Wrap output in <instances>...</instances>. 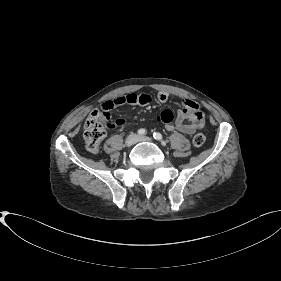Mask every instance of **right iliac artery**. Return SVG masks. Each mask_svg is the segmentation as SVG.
Listing matches in <instances>:
<instances>
[{
    "instance_id": "82829eb1",
    "label": "right iliac artery",
    "mask_w": 281,
    "mask_h": 281,
    "mask_svg": "<svg viewBox=\"0 0 281 281\" xmlns=\"http://www.w3.org/2000/svg\"><path fill=\"white\" fill-rule=\"evenodd\" d=\"M145 134H146V130L145 129L138 130V135L144 136Z\"/></svg>"
}]
</instances>
